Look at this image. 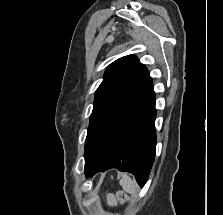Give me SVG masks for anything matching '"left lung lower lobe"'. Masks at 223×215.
<instances>
[{
	"instance_id": "left-lung-lower-lobe-1",
	"label": "left lung lower lobe",
	"mask_w": 223,
	"mask_h": 215,
	"mask_svg": "<svg viewBox=\"0 0 223 215\" xmlns=\"http://www.w3.org/2000/svg\"><path fill=\"white\" fill-rule=\"evenodd\" d=\"M155 117V93L152 85L113 127L94 157L85 164L86 177L117 168L132 173L143 187L155 157Z\"/></svg>"
}]
</instances>
